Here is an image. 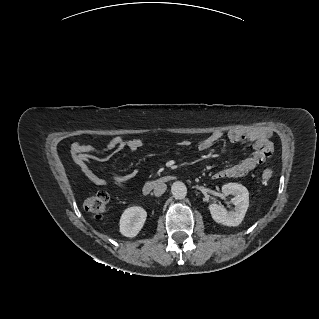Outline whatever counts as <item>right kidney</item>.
<instances>
[{
	"label": "right kidney",
	"mask_w": 319,
	"mask_h": 319,
	"mask_svg": "<svg viewBox=\"0 0 319 319\" xmlns=\"http://www.w3.org/2000/svg\"><path fill=\"white\" fill-rule=\"evenodd\" d=\"M147 212L139 206L127 208L120 218V233L126 237H135L142 229Z\"/></svg>",
	"instance_id": "ca27d5eb"
}]
</instances>
